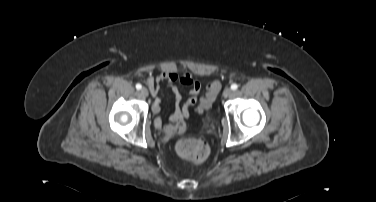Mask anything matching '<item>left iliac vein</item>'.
Segmentation results:
<instances>
[{
  "mask_svg": "<svg viewBox=\"0 0 376 202\" xmlns=\"http://www.w3.org/2000/svg\"><path fill=\"white\" fill-rule=\"evenodd\" d=\"M231 94H232V89H230V88H226V89L224 90V92H223V96H224L225 98L229 97Z\"/></svg>",
  "mask_w": 376,
  "mask_h": 202,
  "instance_id": "left-iliac-vein-1",
  "label": "left iliac vein"
}]
</instances>
